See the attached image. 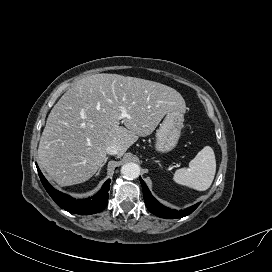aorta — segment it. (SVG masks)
<instances>
[{
    "instance_id": "1",
    "label": "aorta",
    "mask_w": 272,
    "mask_h": 272,
    "mask_svg": "<svg viewBox=\"0 0 272 272\" xmlns=\"http://www.w3.org/2000/svg\"><path fill=\"white\" fill-rule=\"evenodd\" d=\"M121 174L126 179H135L140 174V167L133 162L126 163L121 167Z\"/></svg>"
}]
</instances>
